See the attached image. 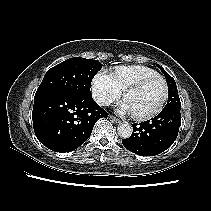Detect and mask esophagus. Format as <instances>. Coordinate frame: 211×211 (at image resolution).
<instances>
[{"instance_id":"esophagus-1","label":"esophagus","mask_w":211,"mask_h":211,"mask_svg":"<svg viewBox=\"0 0 211 211\" xmlns=\"http://www.w3.org/2000/svg\"><path fill=\"white\" fill-rule=\"evenodd\" d=\"M110 118L115 122V123H121V120L114 117V116H110Z\"/></svg>"}]
</instances>
